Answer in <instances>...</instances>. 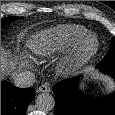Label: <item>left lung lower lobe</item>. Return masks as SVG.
I'll return each instance as SVG.
<instances>
[{
  "label": "left lung lower lobe",
  "instance_id": "1",
  "mask_svg": "<svg viewBox=\"0 0 115 115\" xmlns=\"http://www.w3.org/2000/svg\"><path fill=\"white\" fill-rule=\"evenodd\" d=\"M97 68L115 79V65ZM78 80L75 77L53 86L55 115H115V93L100 99L85 96L78 90Z\"/></svg>",
  "mask_w": 115,
  "mask_h": 115
}]
</instances>
